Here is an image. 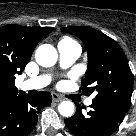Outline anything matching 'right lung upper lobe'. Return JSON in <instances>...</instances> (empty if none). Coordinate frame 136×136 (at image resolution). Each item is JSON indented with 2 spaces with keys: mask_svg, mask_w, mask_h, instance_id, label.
<instances>
[{
  "mask_svg": "<svg viewBox=\"0 0 136 136\" xmlns=\"http://www.w3.org/2000/svg\"><path fill=\"white\" fill-rule=\"evenodd\" d=\"M52 30L15 24L0 28V102L22 93L15 87V76L29 63L37 43Z\"/></svg>",
  "mask_w": 136,
  "mask_h": 136,
  "instance_id": "right-lung-upper-lobe-1",
  "label": "right lung upper lobe"
}]
</instances>
